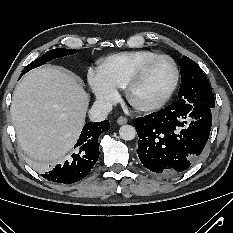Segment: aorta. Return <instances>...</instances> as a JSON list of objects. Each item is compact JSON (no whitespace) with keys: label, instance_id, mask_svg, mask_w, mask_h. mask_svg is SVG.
<instances>
[{"label":"aorta","instance_id":"1","mask_svg":"<svg viewBox=\"0 0 233 233\" xmlns=\"http://www.w3.org/2000/svg\"><path fill=\"white\" fill-rule=\"evenodd\" d=\"M119 135L123 140L130 141L136 136V130L131 125H123L119 129Z\"/></svg>","mask_w":233,"mask_h":233}]
</instances>
